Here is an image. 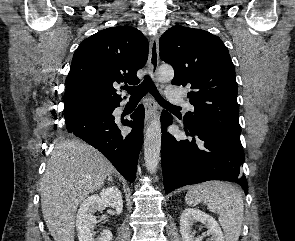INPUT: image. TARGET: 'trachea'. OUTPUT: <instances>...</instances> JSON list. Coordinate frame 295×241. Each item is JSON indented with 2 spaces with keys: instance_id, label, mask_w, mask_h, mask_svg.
Returning a JSON list of instances; mask_svg holds the SVG:
<instances>
[{
  "instance_id": "1",
  "label": "trachea",
  "mask_w": 295,
  "mask_h": 241,
  "mask_svg": "<svg viewBox=\"0 0 295 241\" xmlns=\"http://www.w3.org/2000/svg\"><path fill=\"white\" fill-rule=\"evenodd\" d=\"M124 89L130 94V100H140L143 96L150 92L161 106L168 108H179L178 106H174L166 101L160 95L151 77L148 75L145 76L144 81L140 85L134 87L124 86Z\"/></svg>"
}]
</instances>
